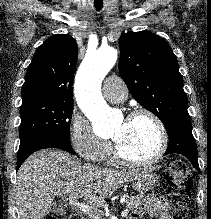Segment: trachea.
<instances>
[{"label": "trachea", "instance_id": "trachea-1", "mask_svg": "<svg viewBox=\"0 0 211 219\" xmlns=\"http://www.w3.org/2000/svg\"><path fill=\"white\" fill-rule=\"evenodd\" d=\"M102 6H96L97 10H101Z\"/></svg>", "mask_w": 211, "mask_h": 219}]
</instances>
